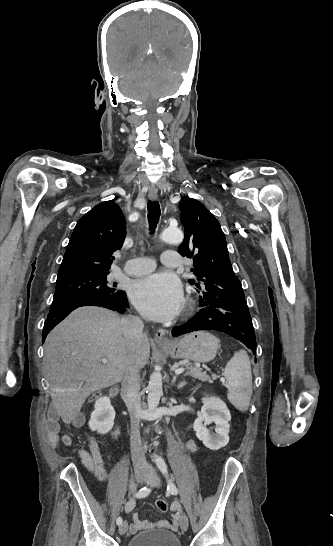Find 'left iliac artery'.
Masks as SVG:
<instances>
[{
    "label": "left iliac artery",
    "instance_id": "left-iliac-artery-1",
    "mask_svg": "<svg viewBox=\"0 0 333 546\" xmlns=\"http://www.w3.org/2000/svg\"><path fill=\"white\" fill-rule=\"evenodd\" d=\"M155 461H156V464H157V467L159 468V470L168 479V470H167V465H166L165 461L161 457H156ZM167 490H169V492H171L174 495L178 494L177 487L175 486V484L170 479H168Z\"/></svg>",
    "mask_w": 333,
    "mask_h": 546
}]
</instances>
